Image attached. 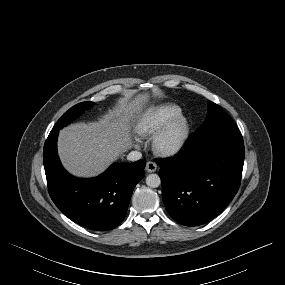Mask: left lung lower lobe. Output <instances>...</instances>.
I'll use <instances>...</instances> for the list:
<instances>
[{
  "instance_id": "1",
  "label": "left lung lower lobe",
  "mask_w": 285,
  "mask_h": 285,
  "mask_svg": "<svg viewBox=\"0 0 285 285\" xmlns=\"http://www.w3.org/2000/svg\"><path fill=\"white\" fill-rule=\"evenodd\" d=\"M242 137L189 141L174 158L158 160L162 198L169 215L185 226L215 218L237 193L244 163Z\"/></svg>"
}]
</instances>
